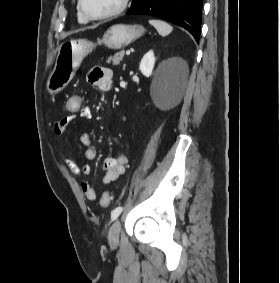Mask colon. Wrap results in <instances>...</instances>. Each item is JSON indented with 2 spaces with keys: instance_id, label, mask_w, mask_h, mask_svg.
I'll return each instance as SVG.
<instances>
[{
  "instance_id": "1",
  "label": "colon",
  "mask_w": 280,
  "mask_h": 283,
  "mask_svg": "<svg viewBox=\"0 0 280 283\" xmlns=\"http://www.w3.org/2000/svg\"><path fill=\"white\" fill-rule=\"evenodd\" d=\"M82 102L83 97L82 94H68V97H66V112H81L82 108ZM110 194L108 191L103 192L101 199H100V205L103 208H107L110 204Z\"/></svg>"
}]
</instances>
